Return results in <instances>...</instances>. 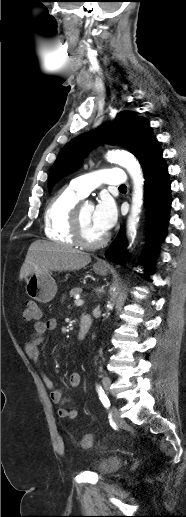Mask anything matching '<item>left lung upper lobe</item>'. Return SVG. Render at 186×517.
<instances>
[{
  "instance_id": "left-lung-upper-lobe-1",
  "label": "left lung upper lobe",
  "mask_w": 186,
  "mask_h": 517,
  "mask_svg": "<svg viewBox=\"0 0 186 517\" xmlns=\"http://www.w3.org/2000/svg\"><path fill=\"white\" fill-rule=\"evenodd\" d=\"M103 140L127 147L138 160L157 141L146 119L137 117L134 112L123 111L117 114L110 127H100L96 131L79 135L61 149L50 170L48 189L51 190L62 176L77 169L82 156Z\"/></svg>"
}]
</instances>
